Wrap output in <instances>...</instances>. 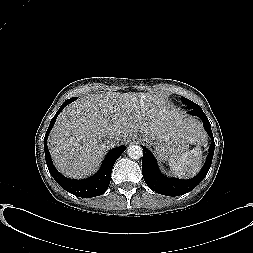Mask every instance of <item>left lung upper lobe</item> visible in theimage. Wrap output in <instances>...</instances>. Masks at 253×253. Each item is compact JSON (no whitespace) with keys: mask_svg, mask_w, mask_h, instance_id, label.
Returning a JSON list of instances; mask_svg holds the SVG:
<instances>
[{"mask_svg":"<svg viewBox=\"0 0 253 253\" xmlns=\"http://www.w3.org/2000/svg\"><path fill=\"white\" fill-rule=\"evenodd\" d=\"M182 102H183L185 105H187L188 108H189L190 106H192V105H197V104H195L194 102H192L191 100H189V99H187V98H185V97H182Z\"/></svg>","mask_w":253,"mask_h":253,"instance_id":"left-lung-upper-lobe-1","label":"left lung upper lobe"}]
</instances>
